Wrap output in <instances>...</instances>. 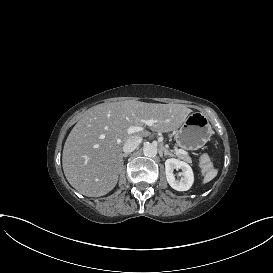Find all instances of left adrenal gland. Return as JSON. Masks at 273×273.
I'll return each instance as SVG.
<instances>
[{"label": "left adrenal gland", "instance_id": "a2214340", "mask_svg": "<svg viewBox=\"0 0 273 273\" xmlns=\"http://www.w3.org/2000/svg\"><path fill=\"white\" fill-rule=\"evenodd\" d=\"M161 150L164 152L163 157H175V155L173 153H170L166 147H162Z\"/></svg>", "mask_w": 273, "mask_h": 273}]
</instances>
